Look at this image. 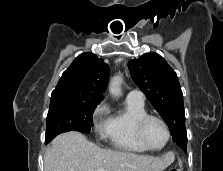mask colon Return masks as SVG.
Instances as JSON below:
<instances>
[{
  "label": "colon",
  "mask_w": 223,
  "mask_h": 171,
  "mask_svg": "<svg viewBox=\"0 0 223 171\" xmlns=\"http://www.w3.org/2000/svg\"><path fill=\"white\" fill-rule=\"evenodd\" d=\"M170 171H179L178 169H171Z\"/></svg>",
  "instance_id": "1"
}]
</instances>
